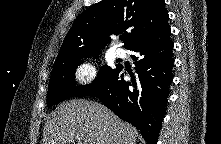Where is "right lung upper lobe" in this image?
<instances>
[{
  "label": "right lung upper lobe",
  "instance_id": "obj_1",
  "mask_svg": "<svg viewBox=\"0 0 221 144\" xmlns=\"http://www.w3.org/2000/svg\"><path fill=\"white\" fill-rule=\"evenodd\" d=\"M168 23L164 0H102L83 11L68 31L54 67L96 55L109 36L125 30L124 47Z\"/></svg>",
  "mask_w": 221,
  "mask_h": 144
}]
</instances>
